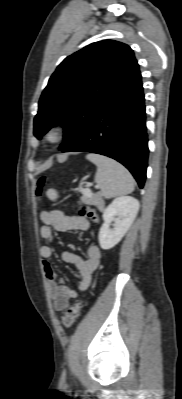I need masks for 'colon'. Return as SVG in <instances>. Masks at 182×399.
Listing matches in <instances>:
<instances>
[{
  "instance_id": "obj_1",
  "label": "colon",
  "mask_w": 182,
  "mask_h": 399,
  "mask_svg": "<svg viewBox=\"0 0 182 399\" xmlns=\"http://www.w3.org/2000/svg\"><path fill=\"white\" fill-rule=\"evenodd\" d=\"M47 182V178L45 176H42L39 180V187H38V195L41 194V191L44 187V185ZM79 212L82 215L87 216L89 219L93 220V221H98L99 217L97 215V213L95 211H93L92 209H90L89 207H87L86 205H79ZM83 303L84 301L82 299L78 300L77 302H75L64 314V316L62 317V324L63 326H65L66 328L71 327L75 321L77 320V318L80 315L81 309L83 307Z\"/></svg>"
}]
</instances>
